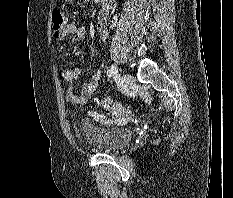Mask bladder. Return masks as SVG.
Segmentation results:
<instances>
[{
  "label": "bladder",
  "mask_w": 233,
  "mask_h": 198,
  "mask_svg": "<svg viewBox=\"0 0 233 198\" xmlns=\"http://www.w3.org/2000/svg\"><path fill=\"white\" fill-rule=\"evenodd\" d=\"M81 136L91 148L99 152L115 153L125 148L133 135L127 127H101L90 122H83Z\"/></svg>",
  "instance_id": "bladder-1"
}]
</instances>
